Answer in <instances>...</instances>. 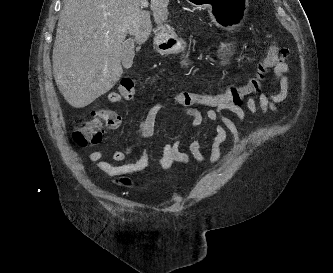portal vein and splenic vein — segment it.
I'll return each instance as SVG.
<instances>
[{"mask_svg":"<svg viewBox=\"0 0 333 273\" xmlns=\"http://www.w3.org/2000/svg\"><path fill=\"white\" fill-rule=\"evenodd\" d=\"M146 7H148V1L144 0L141 2V8H146Z\"/></svg>","mask_w":333,"mask_h":273,"instance_id":"1","label":"portal vein and splenic vein"}]
</instances>
